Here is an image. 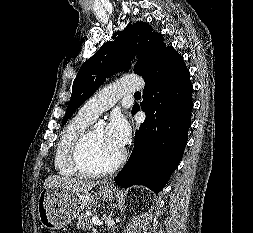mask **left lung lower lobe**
Returning a JSON list of instances; mask_svg holds the SVG:
<instances>
[{
  "instance_id": "0a47b994",
  "label": "left lung lower lobe",
  "mask_w": 253,
  "mask_h": 233,
  "mask_svg": "<svg viewBox=\"0 0 253 233\" xmlns=\"http://www.w3.org/2000/svg\"><path fill=\"white\" fill-rule=\"evenodd\" d=\"M142 77L143 100L134 105L132 114L141 108L146 120L136 130L132 154L114 180L121 187L139 184L158 193L182 159L193 87L182 56L172 46Z\"/></svg>"
}]
</instances>
